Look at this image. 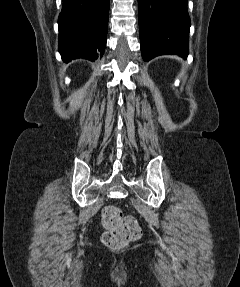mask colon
Listing matches in <instances>:
<instances>
[{
	"instance_id": "obj_1",
	"label": "colon",
	"mask_w": 240,
	"mask_h": 287,
	"mask_svg": "<svg viewBox=\"0 0 240 287\" xmlns=\"http://www.w3.org/2000/svg\"><path fill=\"white\" fill-rule=\"evenodd\" d=\"M102 224L106 231L102 235V243L112 249L119 250L141 236V229L132 216H124L117 206H106L102 211Z\"/></svg>"
}]
</instances>
